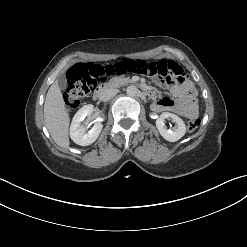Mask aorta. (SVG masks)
Masks as SVG:
<instances>
[{"label":"aorta","mask_w":247,"mask_h":247,"mask_svg":"<svg viewBox=\"0 0 247 247\" xmlns=\"http://www.w3.org/2000/svg\"><path fill=\"white\" fill-rule=\"evenodd\" d=\"M126 92L128 96L135 97L138 95L139 90L136 86L131 85L127 87Z\"/></svg>","instance_id":"aorta-1"}]
</instances>
